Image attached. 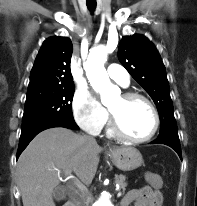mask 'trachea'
I'll return each instance as SVG.
<instances>
[{
	"mask_svg": "<svg viewBox=\"0 0 197 206\" xmlns=\"http://www.w3.org/2000/svg\"><path fill=\"white\" fill-rule=\"evenodd\" d=\"M87 7L90 11L95 10L96 8V1H89L87 0Z\"/></svg>",
	"mask_w": 197,
	"mask_h": 206,
	"instance_id": "obj_1",
	"label": "trachea"
}]
</instances>
